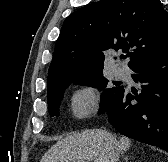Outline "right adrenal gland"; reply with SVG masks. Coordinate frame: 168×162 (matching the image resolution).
I'll return each mask as SVG.
<instances>
[{
  "mask_svg": "<svg viewBox=\"0 0 168 162\" xmlns=\"http://www.w3.org/2000/svg\"><path fill=\"white\" fill-rule=\"evenodd\" d=\"M124 162H128V156H124Z\"/></svg>",
  "mask_w": 168,
  "mask_h": 162,
  "instance_id": "right-adrenal-gland-1",
  "label": "right adrenal gland"
}]
</instances>
